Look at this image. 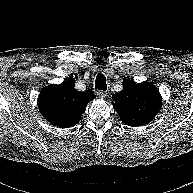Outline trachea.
I'll return each mask as SVG.
<instances>
[{"label":"trachea","mask_w":193,"mask_h":193,"mask_svg":"<svg viewBox=\"0 0 193 193\" xmlns=\"http://www.w3.org/2000/svg\"><path fill=\"white\" fill-rule=\"evenodd\" d=\"M95 89L102 90V91H106L107 90L106 77L103 74H101V73H99L96 76V79H95Z\"/></svg>","instance_id":"obj_1"}]
</instances>
